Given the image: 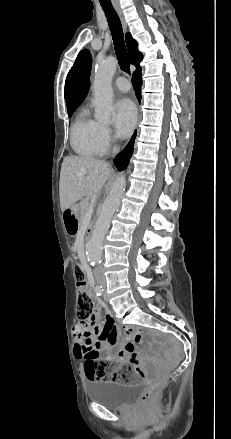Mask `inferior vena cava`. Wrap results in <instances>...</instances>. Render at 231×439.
Masks as SVG:
<instances>
[{"label":"inferior vena cava","mask_w":231,"mask_h":439,"mask_svg":"<svg viewBox=\"0 0 231 439\" xmlns=\"http://www.w3.org/2000/svg\"><path fill=\"white\" fill-rule=\"evenodd\" d=\"M118 150L117 149H114V152L116 153ZM96 273L97 274H99V275H101V272H100V268H96ZM102 276V275H101Z\"/></svg>","instance_id":"obj_1"}]
</instances>
